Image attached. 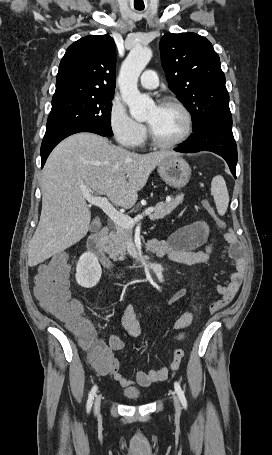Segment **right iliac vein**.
Listing matches in <instances>:
<instances>
[{"label": "right iliac vein", "instance_id": "63e3f726", "mask_svg": "<svg viewBox=\"0 0 272 455\" xmlns=\"http://www.w3.org/2000/svg\"><path fill=\"white\" fill-rule=\"evenodd\" d=\"M100 403H101V398L100 396L96 397L95 404H94V412L98 413L100 410Z\"/></svg>", "mask_w": 272, "mask_h": 455}]
</instances>
